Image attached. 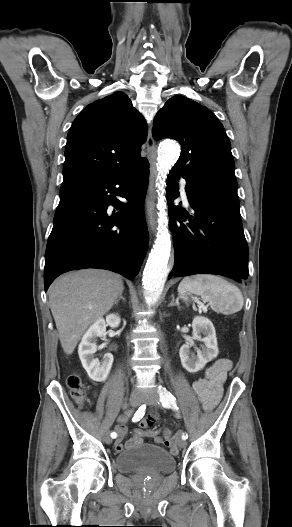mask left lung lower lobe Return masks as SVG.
<instances>
[{"instance_id":"obj_1","label":"left lung lower lobe","mask_w":292,"mask_h":527,"mask_svg":"<svg viewBox=\"0 0 292 527\" xmlns=\"http://www.w3.org/2000/svg\"><path fill=\"white\" fill-rule=\"evenodd\" d=\"M178 174L168 177L170 230L173 232L175 263L170 276L219 274L238 282L248 276V247L243 233L238 196L221 190L186 184L194 212L173 205ZM182 219H188L183 223Z\"/></svg>"}]
</instances>
